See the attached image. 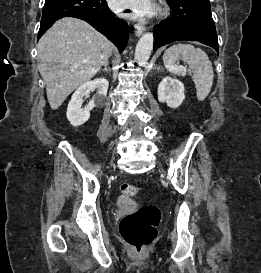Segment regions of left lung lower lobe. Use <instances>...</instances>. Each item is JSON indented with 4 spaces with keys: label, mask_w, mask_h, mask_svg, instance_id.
<instances>
[{
    "label": "left lung lower lobe",
    "mask_w": 261,
    "mask_h": 273,
    "mask_svg": "<svg viewBox=\"0 0 261 273\" xmlns=\"http://www.w3.org/2000/svg\"><path fill=\"white\" fill-rule=\"evenodd\" d=\"M170 17L154 28L153 49L178 40L198 41L218 52L209 0H167Z\"/></svg>",
    "instance_id": "left-lung-lower-lobe-1"
}]
</instances>
